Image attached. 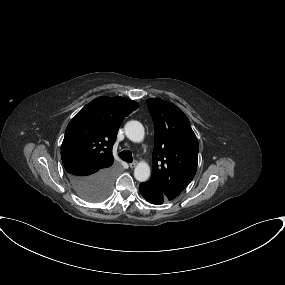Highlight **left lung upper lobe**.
I'll use <instances>...</instances> for the list:
<instances>
[{
  "label": "left lung upper lobe",
  "instance_id": "left-lung-upper-lobe-1",
  "mask_svg": "<svg viewBox=\"0 0 285 285\" xmlns=\"http://www.w3.org/2000/svg\"><path fill=\"white\" fill-rule=\"evenodd\" d=\"M146 102L155 135L150 181L174 199L195 176L199 144L187 116L177 106L157 98Z\"/></svg>",
  "mask_w": 285,
  "mask_h": 285
}]
</instances>
